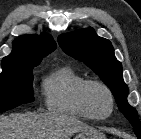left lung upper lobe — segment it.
<instances>
[{"instance_id":"left-lung-upper-lobe-1","label":"left lung upper lobe","mask_w":141,"mask_h":139,"mask_svg":"<svg viewBox=\"0 0 141 139\" xmlns=\"http://www.w3.org/2000/svg\"><path fill=\"white\" fill-rule=\"evenodd\" d=\"M58 42L65 53L84 62L104 81L137 137L141 136L137 111L127 103L128 87L123 81L122 65L114 56L111 42L99 37L92 28L62 34Z\"/></svg>"}]
</instances>
